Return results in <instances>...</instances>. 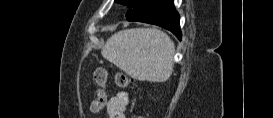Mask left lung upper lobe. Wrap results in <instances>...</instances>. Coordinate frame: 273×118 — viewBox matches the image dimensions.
<instances>
[{
    "instance_id": "obj_1",
    "label": "left lung upper lobe",
    "mask_w": 273,
    "mask_h": 118,
    "mask_svg": "<svg viewBox=\"0 0 273 118\" xmlns=\"http://www.w3.org/2000/svg\"><path fill=\"white\" fill-rule=\"evenodd\" d=\"M126 4L129 10L126 13L128 21H141L145 17L156 13L169 0H115Z\"/></svg>"
}]
</instances>
